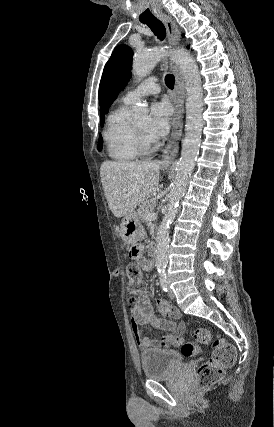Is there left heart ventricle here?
Instances as JSON below:
<instances>
[{
	"mask_svg": "<svg viewBox=\"0 0 274 427\" xmlns=\"http://www.w3.org/2000/svg\"><path fill=\"white\" fill-rule=\"evenodd\" d=\"M137 125V127L139 128V130L141 131V133L150 141H156L155 139H153L147 131V125H148V118L145 117L142 120H140L139 122L135 123Z\"/></svg>",
	"mask_w": 274,
	"mask_h": 427,
	"instance_id": "1",
	"label": "left heart ventricle"
}]
</instances>
